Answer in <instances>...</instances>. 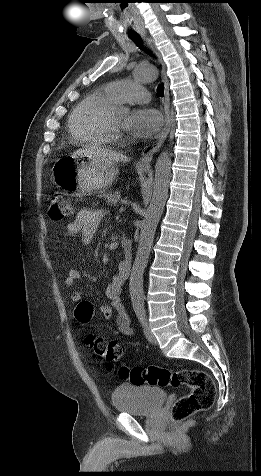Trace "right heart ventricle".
<instances>
[{
	"mask_svg": "<svg viewBox=\"0 0 261 476\" xmlns=\"http://www.w3.org/2000/svg\"><path fill=\"white\" fill-rule=\"evenodd\" d=\"M118 102L105 89L85 96L72 110L68 129L75 143L80 145H106L115 138L108 125L111 110Z\"/></svg>",
	"mask_w": 261,
	"mask_h": 476,
	"instance_id": "right-heart-ventricle-1",
	"label": "right heart ventricle"
}]
</instances>
